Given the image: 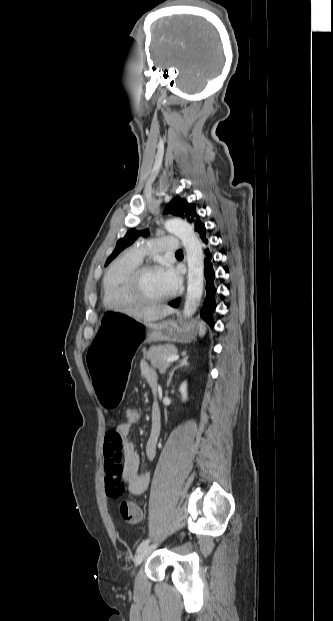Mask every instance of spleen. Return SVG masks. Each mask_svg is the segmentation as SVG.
Returning a JSON list of instances; mask_svg holds the SVG:
<instances>
[{
    "label": "spleen",
    "mask_w": 333,
    "mask_h": 621,
    "mask_svg": "<svg viewBox=\"0 0 333 621\" xmlns=\"http://www.w3.org/2000/svg\"><path fill=\"white\" fill-rule=\"evenodd\" d=\"M206 333V326L204 324V322H199V336L203 337L204 334Z\"/></svg>",
    "instance_id": "obj_1"
}]
</instances>
